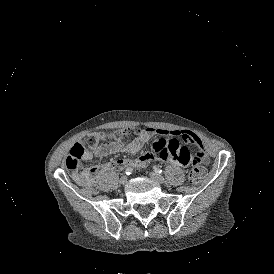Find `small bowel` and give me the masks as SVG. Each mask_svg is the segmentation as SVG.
<instances>
[{
	"instance_id": "small-bowel-1",
	"label": "small bowel",
	"mask_w": 274,
	"mask_h": 274,
	"mask_svg": "<svg viewBox=\"0 0 274 274\" xmlns=\"http://www.w3.org/2000/svg\"><path fill=\"white\" fill-rule=\"evenodd\" d=\"M156 136H171L180 138L185 143L191 144L195 147L196 157L191 148L177 139H157L152 144V151L150 153L144 150L138 154L136 160L120 158L113 162L101 164L95 168V172L97 174H103L112 169H125L130 166H135L138 170L143 171L150 166L151 160L157 163L161 160L171 159V164L179 163L182 166L191 165L195 158L197 159L196 162L199 160H206L204 144L202 140L194 133L186 130H165L155 127L143 128L140 131L139 136L133 142L128 144L118 141H110L99 144L93 150L86 151L82 158L85 161H89L94 156L104 157L121 152L136 153ZM73 178L80 183H84L89 180L86 175L81 173H74Z\"/></svg>"
}]
</instances>
